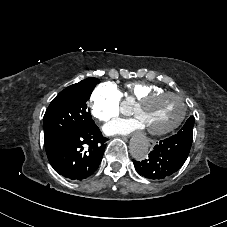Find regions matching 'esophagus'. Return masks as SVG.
<instances>
[{
  "instance_id": "obj_1",
  "label": "esophagus",
  "mask_w": 227,
  "mask_h": 227,
  "mask_svg": "<svg viewBox=\"0 0 227 227\" xmlns=\"http://www.w3.org/2000/svg\"><path fill=\"white\" fill-rule=\"evenodd\" d=\"M140 134H141V133H140ZM146 145H147V147H149V148H153V147H155L156 142H155V140H153V139H149V140H147Z\"/></svg>"
}]
</instances>
